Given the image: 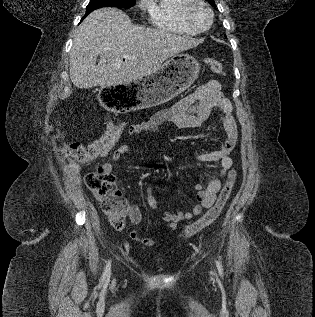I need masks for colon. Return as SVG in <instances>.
<instances>
[{
    "mask_svg": "<svg viewBox=\"0 0 315 317\" xmlns=\"http://www.w3.org/2000/svg\"><path fill=\"white\" fill-rule=\"evenodd\" d=\"M205 64L215 74H223L224 72L222 63L218 60L206 59ZM124 126L123 122L112 123L100 139L90 145L79 142L71 143L67 147V153L77 163L92 162L110 151ZM235 181L236 172L231 170L215 204L199 220L187 226L184 232L185 238L194 236L218 219L231 196ZM85 183L101 203L102 210L110 224L118 230L123 229L129 210V202L127 197L117 188L113 175L100 167L85 175Z\"/></svg>",
    "mask_w": 315,
    "mask_h": 317,
    "instance_id": "obj_1",
    "label": "colon"
}]
</instances>
